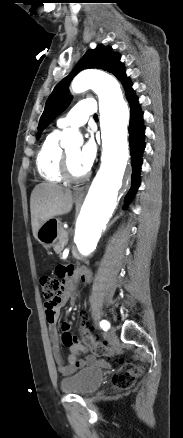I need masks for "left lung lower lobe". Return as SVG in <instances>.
I'll list each match as a JSON object with an SVG mask.
<instances>
[{
	"mask_svg": "<svg viewBox=\"0 0 183 438\" xmlns=\"http://www.w3.org/2000/svg\"><path fill=\"white\" fill-rule=\"evenodd\" d=\"M127 100L130 103V124H129V142L132 162V186L126 196L128 202L136 193L140 184V169L142 164V153L145 148L144 143V125L143 113L139 107L138 98L134 95L132 84L128 82L125 86Z\"/></svg>",
	"mask_w": 183,
	"mask_h": 438,
	"instance_id": "obj_1",
	"label": "left lung lower lobe"
}]
</instances>
